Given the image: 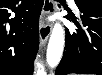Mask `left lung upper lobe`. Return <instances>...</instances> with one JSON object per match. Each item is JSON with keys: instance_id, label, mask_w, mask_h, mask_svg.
Masks as SVG:
<instances>
[{"instance_id": "left-lung-upper-lobe-1", "label": "left lung upper lobe", "mask_w": 102, "mask_h": 75, "mask_svg": "<svg viewBox=\"0 0 102 75\" xmlns=\"http://www.w3.org/2000/svg\"><path fill=\"white\" fill-rule=\"evenodd\" d=\"M76 5H91L102 8V0H75Z\"/></svg>"}]
</instances>
